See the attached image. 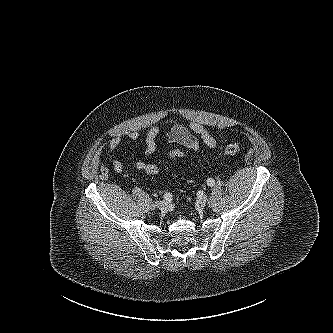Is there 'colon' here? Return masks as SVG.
<instances>
[{
  "mask_svg": "<svg viewBox=\"0 0 333 333\" xmlns=\"http://www.w3.org/2000/svg\"><path fill=\"white\" fill-rule=\"evenodd\" d=\"M241 150V145L238 143H232L227 145L224 150H223V155L225 156H230L237 154ZM169 156L171 158H181L185 156V152L182 151L181 149H173L170 153ZM145 173L148 175H157L159 173V168L155 164H147L145 167Z\"/></svg>",
  "mask_w": 333,
  "mask_h": 333,
  "instance_id": "5ec220e1",
  "label": "colon"
}]
</instances>
